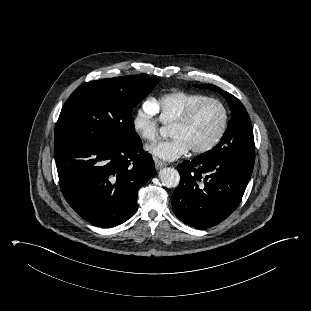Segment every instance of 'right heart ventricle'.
I'll return each mask as SVG.
<instances>
[{"mask_svg":"<svg viewBox=\"0 0 311 311\" xmlns=\"http://www.w3.org/2000/svg\"><path fill=\"white\" fill-rule=\"evenodd\" d=\"M205 98L207 97L202 94L178 91L165 94L153 101L155 103L156 112L159 113L161 123L164 125H172L190 107Z\"/></svg>","mask_w":311,"mask_h":311,"instance_id":"right-heart-ventricle-1","label":"right heart ventricle"}]
</instances>
